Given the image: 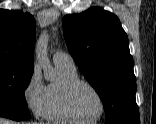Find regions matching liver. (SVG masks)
I'll return each mask as SVG.
<instances>
[{
    "label": "liver",
    "mask_w": 156,
    "mask_h": 124,
    "mask_svg": "<svg viewBox=\"0 0 156 124\" xmlns=\"http://www.w3.org/2000/svg\"><path fill=\"white\" fill-rule=\"evenodd\" d=\"M0 124H14V123L11 121L5 120L3 118H0ZM25 124H30V123H25Z\"/></svg>",
    "instance_id": "liver-1"
}]
</instances>
